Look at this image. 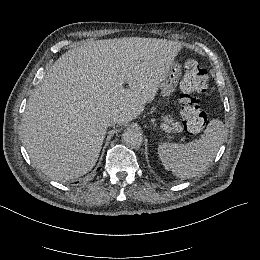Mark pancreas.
<instances>
[{"mask_svg": "<svg viewBox=\"0 0 260 260\" xmlns=\"http://www.w3.org/2000/svg\"><path fill=\"white\" fill-rule=\"evenodd\" d=\"M163 121L165 122L166 125L172 126L177 133L182 132V126L178 121H175L173 118H164Z\"/></svg>", "mask_w": 260, "mask_h": 260, "instance_id": "obj_1", "label": "pancreas"}]
</instances>
